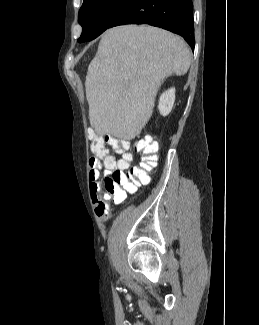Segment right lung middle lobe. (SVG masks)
<instances>
[{"instance_id":"dd1d6c3e","label":"right lung middle lobe","mask_w":259,"mask_h":325,"mask_svg":"<svg viewBox=\"0 0 259 325\" xmlns=\"http://www.w3.org/2000/svg\"><path fill=\"white\" fill-rule=\"evenodd\" d=\"M128 0H84L78 21L82 34L78 42H88L104 32Z\"/></svg>"}]
</instances>
